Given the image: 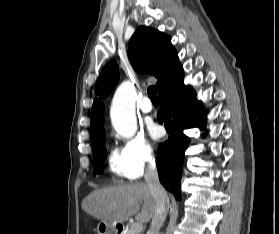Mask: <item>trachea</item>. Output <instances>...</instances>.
<instances>
[{"mask_svg": "<svg viewBox=\"0 0 279 234\" xmlns=\"http://www.w3.org/2000/svg\"><path fill=\"white\" fill-rule=\"evenodd\" d=\"M147 93L152 102H158L157 91L155 86L148 87Z\"/></svg>", "mask_w": 279, "mask_h": 234, "instance_id": "obj_1", "label": "trachea"}]
</instances>
